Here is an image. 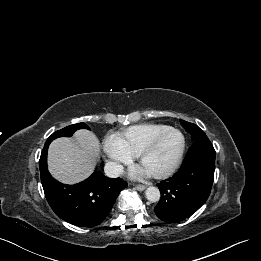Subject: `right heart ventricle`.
Returning a JSON list of instances; mask_svg holds the SVG:
<instances>
[{
    "label": "right heart ventricle",
    "instance_id": "right-heart-ventricle-1",
    "mask_svg": "<svg viewBox=\"0 0 261 261\" xmlns=\"http://www.w3.org/2000/svg\"><path fill=\"white\" fill-rule=\"evenodd\" d=\"M167 128H169V126L164 124H137L128 127L114 137L131 157H137L155 135Z\"/></svg>",
    "mask_w": 261,
    "mask_h": 261
}]
</instances>
